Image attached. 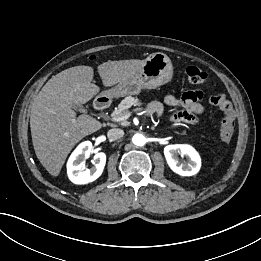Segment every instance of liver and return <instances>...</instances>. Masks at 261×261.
<instances>
[{"label":"liver","mask_w":261,"mask_h":261,"mask_svg":"<svg viewBox=\"0 0 261 261\" xmlns=\"http://www.w3.org/2000/svg\"><path fill=\"white\" fill-rule=\"evenodd\" d=\"M146 60L108 61L98 66L105 87L133 77ZM90 66H75L53 76L41 89L31 107L30 128L36 156L49 174L56 177L72 150L84 137L101 129L89 115L76 117L73 104H85L99 93L92 83Z\"/></svg>","instance_id":"obj_1"}]
</instances>
